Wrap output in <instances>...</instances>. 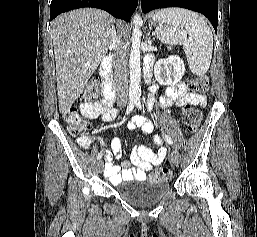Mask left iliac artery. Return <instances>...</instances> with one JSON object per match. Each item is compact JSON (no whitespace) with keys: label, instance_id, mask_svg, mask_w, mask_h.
Listing matches in <instances>:
<instances>
[{"label":"left iliac artery","instance_id":"44dca946","mask_svg":"<svg viewBox=\"0 0 257 237\" xmlns=\"http://www.w3.org/2000/svg\"><path fill=\"white\" fill-rule=\"evenodd\" d=\"M136 105H137V107H138L139 109H141L142 106H141V102H140V101L136 102ZM164 139H165V141H166L169 145H173V141H172L171 137L168 136V135L165 134V133H164Z\"/></svg>","mask_w":257,"mask_h":237}]
</instances>
